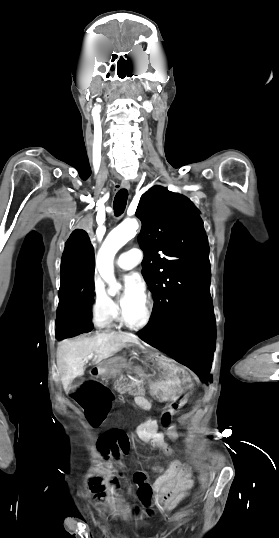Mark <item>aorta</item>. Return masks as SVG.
I'll list each match as a JSON object with an SVG mask.
<instances>
[{"label":"aorta","instance_id":"762f6f07","mask_svg":"<svg viewBox=\"0 0 279 538\" xmlns=\"http://www.w3.org/2000/svg\"><path fill=\"white\" fill-rule=\"evenodd\" d=\"M139 225L136 219L122 222L106 237L97 255V268L101 277L108 283V293L114 296L121 285L114 276L113 260L117 251L136 235Z\"/></svg>","mask_w":279,"mask_h":538}]
</instances>
